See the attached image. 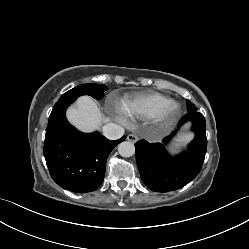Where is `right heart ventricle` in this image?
Instances as JSON below:
<instances>
[{
  "label": "right heart ventricle",
  "instance_id": "obj_1",
  "mask_svg": "<svg viewBox=\"0 0 249 249\" xmlns=\"http://www.w3.org/2000/svg\"><path fill=\"white\" fill-rule=\"evenodd\" d=\"M171 102H173L171 98L162 94L144 92L124 101L119 110L128 117L154 118L159 110Z\"/></svg>",
  "mask_w": 249,
  "mask_h": 249
}]
</instances>
